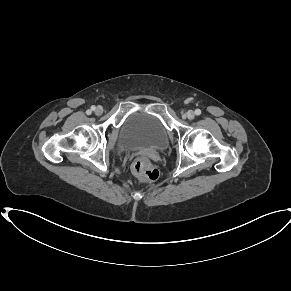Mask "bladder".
Listing matches in <instances>:
<instances>
[{
    "label": "bladder",
    "mask_w": 291,
    "mask_h": 291,
    "mask_svg": "<svg viewBox=\"0 0 291 291\" xmlns=\"http://www.w3.org/2000/svg\"><path fill=\"white\" fill-rule=\"evenodd\" d=\"M168 139V130L158 118L137 112L122 125L116 150H159L167 145Z\"/></svg>",
    "instance_id": "obj_1"
}]
</instances>
